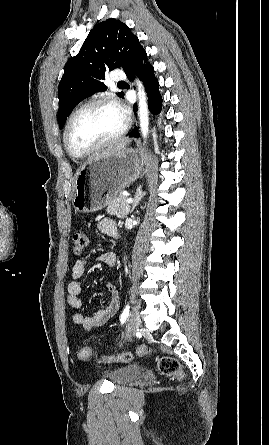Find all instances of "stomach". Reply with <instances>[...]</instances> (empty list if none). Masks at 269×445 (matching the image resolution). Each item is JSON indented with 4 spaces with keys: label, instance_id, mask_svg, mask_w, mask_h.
Listing matches in <instances>:
<instances>
[{
    "label": "stomach",
    "instance_id": "0dacf381",
    "mask_svg": "<svg viewBox=\"0 0 269 445\" xmlns=\"http://www.w3.org/2000/svg\"><path fill=\"white\" fill-rule=\"evenodd\" d=\"M139 174V157L132 148L93 158L76 174L72 205L80 213L99 211L134 182Z\"/></svg>",
    "mask_w": 269,
    "mask_h": 445
}]
</instances>
